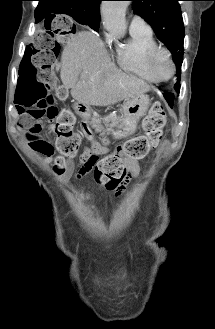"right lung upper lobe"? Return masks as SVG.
I'll return each mask as SVG.
<instances>
[{
    "mask_svg": "<svg viewBox=\"0 0 215 329\" xmlns=\"http://www.w3.org/2000/svg\"><path fill=\"white\" fill-rule=\"evenodd\" d=\"M35 11L36 22L52 19L56 14H66L69 10L81 14L89 22L100 23V2L102 0H38Z\"/></svg>",
    "mask_w": 215,
    "mask_h": 329,
    "instance_id": "cb5924a9",
    "label": "right lung upper lobe"
}]
</instances>
